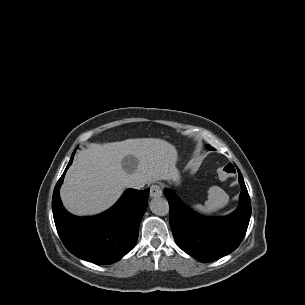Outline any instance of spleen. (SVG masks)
<instances>
[{"mask_svg":"<svg viewBox=\"0 0 305 305\" xmlns=\"http://www.w3.org/2000/svg\"><path fill=\"white\" fill-rule=\"evenodd\" d=\"M227 203L226 193L218 186H212L208 190V200L204 206L196 204L193 208L203 214H210L224 207Z\"/></svg>","mask_w":305,"mask_h":305,"instance_id":"1","label":"spleen"}]
</instances>
